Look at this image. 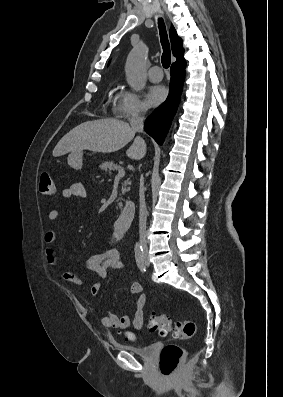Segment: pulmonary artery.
Listing matches in <instances>:
<instances>
[{"instance_id":"e3ab8cb5","label":"pulmonary artery","mask_w":283,"mask_h":397,"mask_svg":"<svg viewBox=\"0 0 283 397\" xmlns=\"http://www.w3.org/2000/svg\"><path fill=\"white\" fill-rule=\"evenodd\" d=\"M148 77L154 83L160 82L163 77L162 69L159 66H152L148 71Z\"/></svg>"}]
</instances>
